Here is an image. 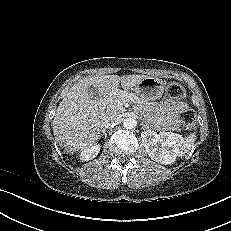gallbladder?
I'll list each match as a JSON object with an SVG mask.
<instances>
[{
	"label": "gallbladder",
	"mask_w": 231,
	"mask_h": 231,
	"mask_svg": "<svg viewBox=\"0 0 231 231\" xmlns=\"http://www.w3.org/2000/svg\"><path fill=\"white\" fill-rule=\"evenodd\" d=\"M88 91L92 95L93 98H95V99L100 98V92L98 91V89L94 85L89 86Z\"/></svg>",
	"instance_id": "gallbladder-1"
}]
</instances>
